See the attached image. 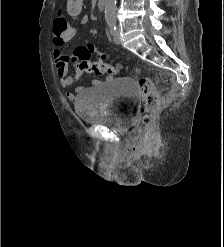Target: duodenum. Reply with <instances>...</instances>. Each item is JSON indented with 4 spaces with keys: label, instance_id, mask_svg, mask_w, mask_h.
I'll use <instances>...</instances> for the list:
<instances>
[{
    "label": "duodenum",
    "instance_id": "duodenum-1",
    "mask_svg": "<svg viewBox=\"0 0 224 247\" xmlns=\"http://www.w3.org/2000/svg\"><path fill=\"white\" fill-rule=\"evenodd\" d=\"M106 2L107 0H98V3H97V10L98 11H103L106 7Z\"/></svg>",
    "mask_w": 224,
    "mask_h": 247
}]
</instances>
